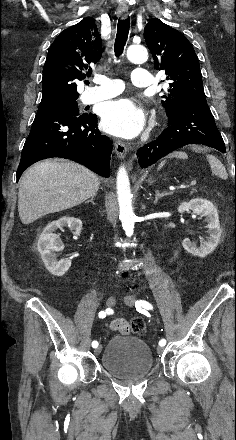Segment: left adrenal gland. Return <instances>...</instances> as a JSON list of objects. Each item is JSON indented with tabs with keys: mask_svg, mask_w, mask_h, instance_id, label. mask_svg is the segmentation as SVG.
<instances>
[{
	"mask_svg": "<svg viewBox=\"0 0 236 440\" xmlns=\"http://www.w3.org/2000/svg\"><path fill=\"white\" fill-rule=\"evenodd\" d=\"M171 194V192H162V193H160V191L159 190H156L155 191V199H154V204L155 203H157V201L161 198V197H163V196H165V195H170Z\"/></svg>",
	"mask_w": 236,
	"mask_h": 440,
	"instance_id": "left-adrenal-gland-1",
	"label": "left adrenal gland"
}]
</instances>
